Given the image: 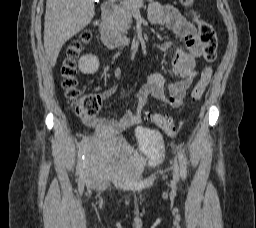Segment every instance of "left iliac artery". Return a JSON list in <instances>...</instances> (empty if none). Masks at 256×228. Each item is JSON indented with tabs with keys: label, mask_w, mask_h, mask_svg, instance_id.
<instances>
[{
	"label": "left iliac artery",
	"mask_w": 256,
	"mask_h": 228,
	"mask_svg": "<svg viewBox=\"0 0 256 228\" xmlns=\"http://www.w3.org/2000/svg\"><path fill=\"white\" fill-rule=\"evenodd\" d=\"M178 158L180 163V173L183 178L186 177L187 173V161L181 151H178Z\"/></svg>",
	"instance_id": "left-iliac-artery-1"
}]
</instances>
